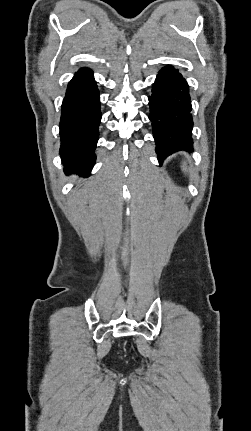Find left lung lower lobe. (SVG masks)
Returning <instances> with one entry per match:
<instances>
[{"label":"left lung lower lobe","instance_id":"left-lung-lower-lobe-1","mask_svg":"<svg viewBox=\"0 0 251 431\" xmlns=\"http://www.w3.org/2000/svg\"><path fill=\"white\" fill-rule=\"evenodd\" d=\"M149 105V119L160 164L174 152L192 150L189 86L177 69L166 66L160 70L152 87Z\"/></svg>","mask_w":251,"mask_h":431}]
</instances>
